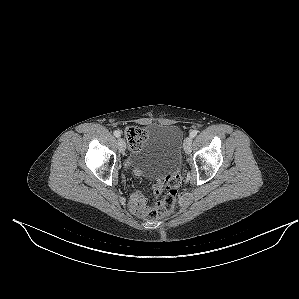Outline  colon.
<instances>
[{"instance_id": "colon-1", "label": "colon", "mask_w": 299, "mask_h": 299, "mask_svg": "<svg viewBox=\"0 0 299 299\" xmlns=\"http://www.w3.org/2000/svg\"><path fill=\"white\" fill-rule=\"evenodd\" d=\"M125 137L130 150L137 151L146 138V132L138 126H130L125 130ZM182 177L179 171L167 175L155 187L157 200L148 210L147 214L151 219H159L172 212Z\"/></svg>"}]
</instances>
